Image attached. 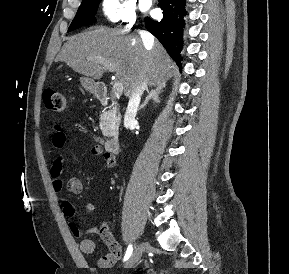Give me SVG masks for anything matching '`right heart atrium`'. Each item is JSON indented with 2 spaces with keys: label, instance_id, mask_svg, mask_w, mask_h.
Returning <instances> with one entry per match:
<instances>
[{
  "label": "right heart atrium",
  "instance_id": "1",
  "mask_svg": "<svg viewBox=\"0 0 289 274\" xmlns=\"http://www.w3.org/2000/svg\"><path fill=\"white\" fill-rule=\"evenodd\" d=\"M100 9L104 20L112 25L130 29L137 21L133 0H101Z\"/></svg>",
  "mask_w": 289,
  "mask_h": 274
}]
</instances>
